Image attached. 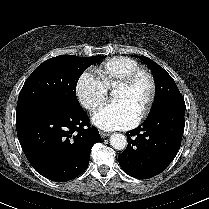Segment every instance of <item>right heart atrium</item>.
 I'll return each instance as SVG.
<instances>
[{
	"instance_id": "d8ad5b80",
	"label": "right heart atrium",
	"mask_w": 209,
	"mask_h": 209,
	"mask_svg": "<svg viewBox=\"0 0 209 209\" xmlns=\"http://www.w3.org/2000/svg\"><path fill=\"white\" fill-rule=\"evenodd\" d=\"M76 95L87 110H98L108 99V89L94 73L83 72L76 83Z\"/></svg>"
}]
</instances>
